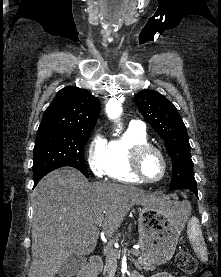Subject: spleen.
Returning <instances> with one entry per match:
<instances>
[{"label": "spleen", "instance_id": "spleen-1", "mask_svg": "<svg viewBox=\"0 0 221 277\" xmlns=\"http://www.w3.org/2000/svg\"><path fill=\"white\" fill-rule=\"evenodd\" d=\"M188 213H190V207L188 208ZM187 235L197 257L202 262H206L208 260L207 248L199 226V220L196 217H192L189 220Z\"/></svg>", "mask_w": 221, "mask_h": 277}]
</instances>
